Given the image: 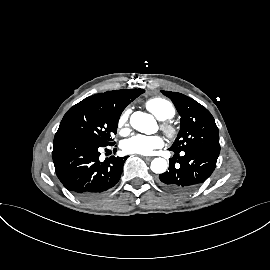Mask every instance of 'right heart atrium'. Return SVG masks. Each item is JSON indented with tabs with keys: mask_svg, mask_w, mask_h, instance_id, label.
I'll return each instance as SVG.
<instances>
[{
	"mask_svg": "<svg viewBox=\"0 0 270 270\" xmlns=\"http://www.w3.org/2000/svg\"><path fill=\"white\" fill-rule=\"evenodd\" d=\"M130 109H125L121 112L117 120V127L121 133H126L129 130Z\"/></svg>",
	"mask_w": 270,
	"mask_h": 270,
	"instance_id": "obj_1",
	"label": "right heart atrium"
}]
</instances>
